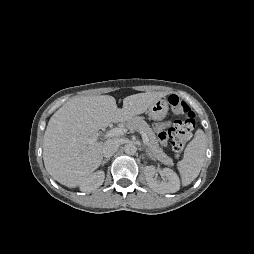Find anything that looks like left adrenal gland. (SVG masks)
Instances as JSON below:
<instances>
[{
  "instance_id": "1",
  "label": "left adrenal gland",
  "mask_w": 254,
  "mask_h": 254,
  "mask_svg": "<svg viewBox=\"0 0 254 254\" xmlns=\"http://www.w3.org/2000/svg\"><path fill=\"white\" fill-rule=\"evenodd\" d=\"M146 153H147L148 156L151 157V155H150V153L148 152V150H146ZM151 158H152V157H151ZM152 159H153V158H152Z\"/></svg>"
}]
</instances>
